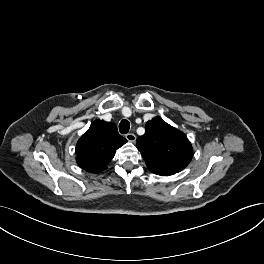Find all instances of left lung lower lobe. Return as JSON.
Segmentation results:
<instances>
[{"instance_id": "left-lung-lower-lobe-1", "label": "left lung lower lobe", "mask_w": 264, "mask_h": 264, "mask_svg": "<svg viewBox=\"0 0 264 264\" xmlns=\"http://www.w3.org/2000/svg\"><path fill=\"white\" fill-rule=\"evenodd\" d=\"M152 172L154 174L161 175V176H169V175H173L176 173V172H171V171H155V170H153Z\"/></svg>"}]
</instances>
